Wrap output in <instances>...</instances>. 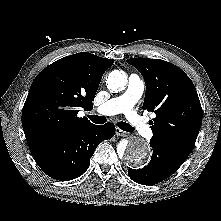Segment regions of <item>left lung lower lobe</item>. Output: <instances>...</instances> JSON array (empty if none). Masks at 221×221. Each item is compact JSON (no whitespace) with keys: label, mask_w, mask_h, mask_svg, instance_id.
Returning <instances> with one entry per match:
<instances>
[{"label":"left lung lower lobe","mask_w":221,"mask_h":221,"mask_svg":"<svg viewBox=\"0 0 221 221\" xmlns=\"http://www.w3.org/2000/svg\"><path fill=\"white\" fill-rule=\"evenodd\" d=\"M153 154L143 169L129 168L130 178L139 184L154 185L171 176L188 157L189 153L160 140H150Z\"/></svg>","instance_id":"left-lung-lower-lobe-1"}]
</instances>
